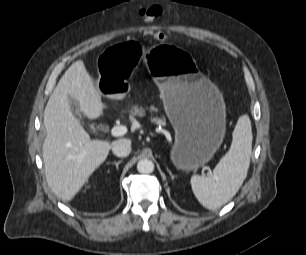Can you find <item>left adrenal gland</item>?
<instances>
[{
  "label": "left adrenal gland",
  "instance_id": "left-adrenal-gland-1",
  "mask_svg": "<svg viewBox=\"0 0 306 255\" xmlns=\"http://www.w3.org/2000/svg\"><path fill=\"white\" fill-rule=\"evenodd\" d=\"M167 171H168L169 175L171 176V178H173V175H172L171 171L168 168H167Z\"/></svg>",
  "mask_w": 306,
  "mask_h": 255
}]
</instances>
